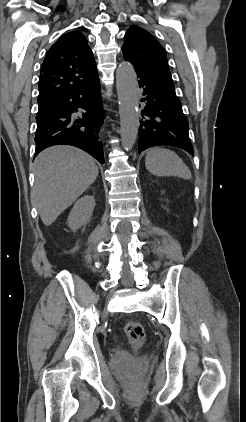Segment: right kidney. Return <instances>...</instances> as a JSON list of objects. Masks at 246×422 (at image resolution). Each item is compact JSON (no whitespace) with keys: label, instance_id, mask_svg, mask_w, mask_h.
Wrapping results in <instances>:
<instances>
[{"label":"right kidney","instance_id":"right-kidney-1","mask_svg":"<svg viewBox=\"0 0 246 422\" xmlns=\"http://www.w3.org/2000/svg\"><path fill=\"white\" fill-rule=\"evenodd\" d=\"M95 207V198L91 195H85L75 202L67 219L68 226L72 231L87 224L91 219Z\"/></svg>","mask_w":246,"mask_h":422}]
</instances>
